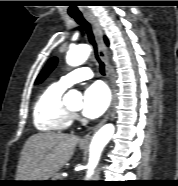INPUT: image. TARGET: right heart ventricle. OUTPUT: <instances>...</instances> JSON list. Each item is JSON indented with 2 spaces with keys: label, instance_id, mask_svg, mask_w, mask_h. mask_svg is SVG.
I'll return each mask as SVG.
<instances>
[{
  "label": "right heart ventricle",
  "instance_id": "right-heart-ventricle-1",
  "mask_svg": "<svg viewBox=\"0 0 178 186\" xmlns=\"http://www.w3.org/2000/svg\"><path fill=\"white\" fill-rule=\"evenodd\" d=\"M65 89L60 83H54L37 98L33 109V123L37 130L57 133L69 127L71 119L62 101Z\"/></svg>",
  "mask_w": 178,
  "mask_h": 186
}]
</instances>
